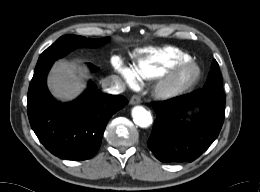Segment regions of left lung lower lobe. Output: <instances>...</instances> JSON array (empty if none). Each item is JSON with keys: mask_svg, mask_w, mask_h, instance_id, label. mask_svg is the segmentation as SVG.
<instances>
[{"mask_svg": "<svg viewBox=\"0 0 260 192\" xmlns=\"http://www.w3.org/2000/svg\"><path fill=\"white\" fill-rule=\"evenodd\" d=\"M225 94L222 88H203L163 102H153L157 119L147 142L162 162H192L217 138L223 121ZM200 113L185 121V112Z\"/></svg>", "mask_w": 260, "mask_h": 192, "instance_id": "1", "label": "left lung lower lobe"}]
</instances>
